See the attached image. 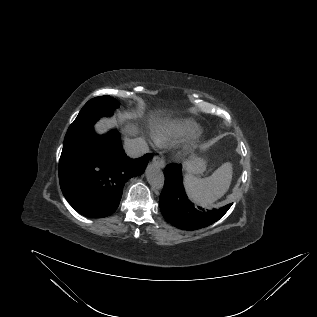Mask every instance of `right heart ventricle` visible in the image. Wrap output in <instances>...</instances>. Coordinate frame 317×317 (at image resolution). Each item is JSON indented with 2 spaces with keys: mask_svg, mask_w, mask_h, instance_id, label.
Listing matches in <instances>:
<instances>
[{
  "mask_svg": "<svg viewBox=\"0 0 317 317\" xmlns=\"http://www.w3.org/2000/svg\"><path fill=\"white\" fill-rule=\"evenodd\" d=\"M199 126L191 120L176 121L156 128L154 138L160 144H174L199 134Z\"/></svg>",
  "mask_w": 317,
  "mask_h": 317,
  "instance_id": "e07e8e85",
  "label": "right heart ventricle"
}]
</instances>
